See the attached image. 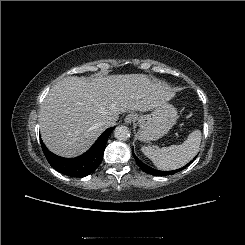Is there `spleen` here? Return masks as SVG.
Here are the masks:
<instances>
[{
	"mask_svg": "<svg viewBox=\"0 0 245 245\" xmlns=\"http://www.w3.org/2000/svg\"><path fill=\"white\" fill-rule=\"evenodd\" d=\"M200 130H194L181 145L152 148L142 146L141 151L161 170H174L186 165L199 151L201 143Z\"/></svg>",
	"mask_w": 245,
	"mask_h": 245,
	"instance_id": "1",
	"label": "spleen"
}]
</instances>
